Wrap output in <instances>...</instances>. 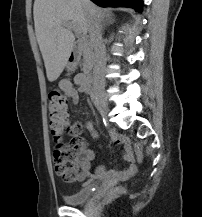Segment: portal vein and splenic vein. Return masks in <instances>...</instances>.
Listing matches in <instances>:
<instances>
[{"label":"portal vein and splenic vein","instance_id":"1","mask_svg":"<svg viewBox=\"0 0 202 217\" xmlns=\"http://www.w3.org/2000/svg\"><path fill=\"white\" fill-rule=\"evenodd\" d=\"M64 26L68 29H73V31L76 33V34H80V30L71 22H65L64 23Z\"/></svg>","mask_w":202,"mask_h":217}]
</instances>
